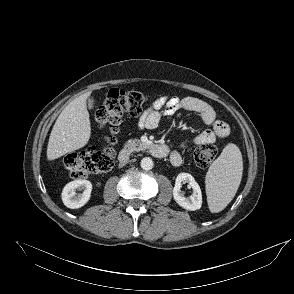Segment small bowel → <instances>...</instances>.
<instances>
[{"label":"small bowel","instance_id":"1","mask_svg":"<svg viewBox=\"0 0 294 294\" xmlns=\"http://www.w3.org/2000/svg\"><path fill=\"white\" fill-rule=\"evenodd\" d=\"M181 110L196 112L202 121L210 129L204 130L192 139L195 144L214 143L218 139L228 136V125L217 119L216 112L207 102L196 97L179 98L176 96H162L156 99L140 116L139 129H155L158 127L163 116H172ZM189 142L181 145V149L187 148ZM170 161L174 166L182 163L180 151L175 150L170 154Z\"/></svg>","mask_w":294,"mask_h":294}]
</instances>
